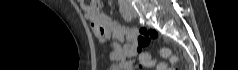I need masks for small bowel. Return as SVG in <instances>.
Returning a JSON list of instances; mask_svg holds the SVG:
<instances>
[{
	"mask_svg": "<svg viewBox=\"0 0 238 70\" xmlns=\"http://www.w3.org/2000/svg\"><path fill=\"white\" fill-rule=\"evenodd\" d=\"M78 3L90 21L99 42L101 44L111 42L109 57L115 63V67L133 70L134 62L128 59L136 56L141 50L138 46V30L128 28L105 14L100 2L89 3L86 0H79ZM146 57L147 54H141L140 61L143 62Z\"/></svg>",
	"mask_w": 238,
	"mask_h": 70,
	"instance_id": "1",
	"label": "small bowel"
}]
</instances>
